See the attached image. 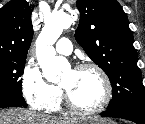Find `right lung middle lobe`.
<instances>
[{
    "label": "right lung middle lobe",
    "mask_w": 145,
    "mask_h": 124,
    "mask_svg": "<svg viewBox=\"0 0 145 124\" xmlns=\"http://www.w3.org/2000/svg\"><path fill=\"white\" fill-rule=\"evenodd\" d=\"M26 58L0 57V96L22 95V81Z\"/></svg>",
    "instance_id": "dd1d6c3e"
}]
</instances>
